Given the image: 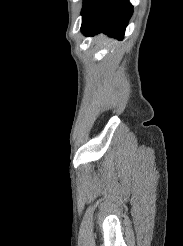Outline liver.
Returning a JSON list of instances; mask_svg holds the SVG:
<instances>
[{
    "label": "liver",
    "instance_id": "obj_1",
    "mask_svg": "<svg viewBox=\"0 0 183 246\" xmlns=\"http://www.w3.org/2000/svg\"><path fill=\"white\" fill-rule=\"evenodd\" d=\"M96 39L98 41H106L107 40L103 35H99L98 37H96Z\"/></svg>",
    "mask_w": 183,
    "mask_h": 246
}]
</instances>
